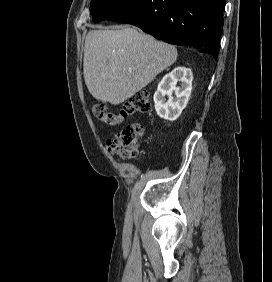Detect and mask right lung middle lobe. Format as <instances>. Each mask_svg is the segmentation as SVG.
I'll list each match as a JSON object with an SVG mask.
<instances>
[{
  "label": "right lung middle lobe",
  "mask_w": 272,
  "mask_h": 282,
  "mask_svg": "<svg viewBox=\"0 0 272 282\" xmlns=\"http://www.w3.org/2000/svg\"><path fill=\"white\" fill-rule=\"evenodd\" d=\"M136 0H92L90 12L95 23L111 18Z\"/></svg>",
  "instance_id": "right-lung-middle-lobe-1"
}]
</instances>
